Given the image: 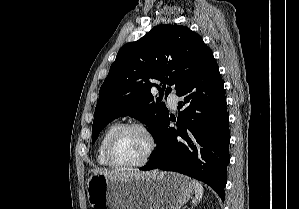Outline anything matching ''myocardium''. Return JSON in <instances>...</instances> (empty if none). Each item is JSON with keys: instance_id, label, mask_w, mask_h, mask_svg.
Returning <instances> with one entry per match:
<instances>
[{"instance_id": "myocardium-1", "label": "myocardium", "mask_w": 299, "mask_h": 209, "mask_svg": "<svg viewBox=\"0 0 299 209\" xmlns=\"http://www.w3.org/2000/svg\"><path fill=\"white\" fill-rule=\"evenodd\" d=\"M137 130L139 132H141L147 142H148V148L146 150L145 155L143 156L142 159H140L139 161L135 162V163H131V164H126V165H122V164H118L113 160V147H114V143L115 140L117 139V137L123 133L126 130ZM157 147V142H156V138L154 136V134L152 133V131L144 124L142 123H138V122H129V123H124L121 124L109 137L107 145H106V151H105V155H106V160L108 165L116 170H130V169H135V168H139L142 167L144 165H146L149 160L151 159L152 155L154 154L155 150Z\"/></svg>"}]
</instances>
